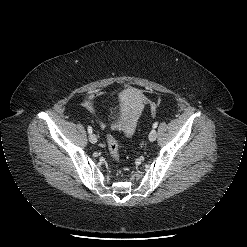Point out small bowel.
I'll return each instance as SVG.
<instances>
[{
    "instance_id": "obj_1",
    "label": "small bowel",
    "mask_w": 247,
    "mask_h": 247,
    "mask_svg": "<svg viewBox=\"0 0 247 247\" xmlns=\"http://www.w3.org/2000/svg\"><path fill=\"white\" fill-rule=\"evenodd\" d=\"M103 92H96V93H91V94H87L84 97V104L87 107V109L94 113L96 108H95V103L96 101L101 98L103 96Z\"/></svg>"
}]
</instances>
